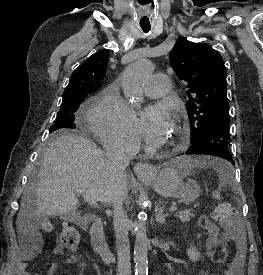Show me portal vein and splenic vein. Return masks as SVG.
Listing matches in <instances>:
<instances>
[{
  "instance_id": "1",
  "label": "portal vein and splenic vein",
  "mask_w": 263,
  "mask_h": 275,
  "mask_svg": "<svg viewBox=\"0 0 263 275\" xmlns=\"http://www.w3.org/2000/svg\"><path fill=\"white\" fill-rule=\"evenodd\" d=\"M77 193L79 195L83 196L84 200L87 201L90 205L98 207L97 200L94 197H92L91 195L86 194L85 192H83L81 190L77 191ZM177 210H178V208L176 206H171L169 208V211H171V212H174V211H177Z\"/></svg>"
}]
</instances>
